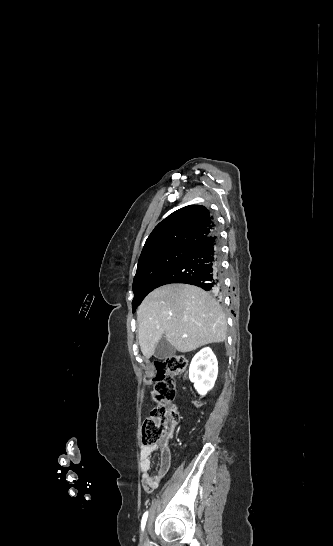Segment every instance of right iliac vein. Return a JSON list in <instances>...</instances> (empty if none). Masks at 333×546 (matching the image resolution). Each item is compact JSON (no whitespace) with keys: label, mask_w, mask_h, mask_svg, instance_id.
Returning <instances> with one entry per match:
<instances>
[{"label":"right iliac vein","mask_w":333,"mask_h":546,"mask_svg":"<svg viewBox=\"0 0 333 546\" xmlns=\"http://www.w3.org/2000/svg\"><path fill=\"white\" fill-rule=\"evenodd\" d=\"M143 540H145V541H146V540H147V537L145 536V537L143 538Z\"/></svg>","instance_id":"obj_1"}]
</instances>
